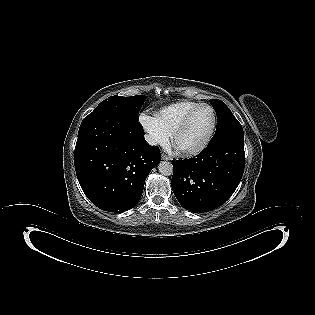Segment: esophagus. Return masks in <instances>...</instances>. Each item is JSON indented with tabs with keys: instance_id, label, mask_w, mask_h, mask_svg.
<instances>
[{
	"instance_id": "34e87169",
	"label": "esophagus",
	"mask_w": 315,
	"mask_h": 315,
	"mask_svg": "<svg viewBox=\"0 0 315 315\" xmlns=\"http://www.w3.org/2000/svg\"><path fill=\"white\" fill-rule=\"evenodd\" d=\"M161 158H162L163 160H170V159H171V157H169V156L166 155V154H161Z\"/></svg>"
}]
</instances>
